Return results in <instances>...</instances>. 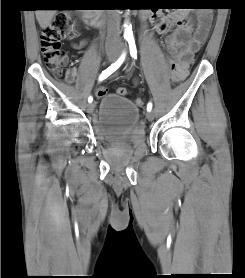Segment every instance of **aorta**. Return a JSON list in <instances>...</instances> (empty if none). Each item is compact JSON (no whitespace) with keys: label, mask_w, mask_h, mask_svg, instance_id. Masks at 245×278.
<instances>
[{"label":"aorta","mask_w":245,"mask_h":278,"mask_svg":"<svg viewBox=\"0 0 245 278\" xmlns=\"http://www.w3.org/2000/svg\"><path fill=\"white\" fill-rule=\"evenodd\" d=\"M132 34V29H131V26L129 25H125V33L124 35L125 36H130Z\"/></svg>","instance_id":"obj_1"}]
</instances>
